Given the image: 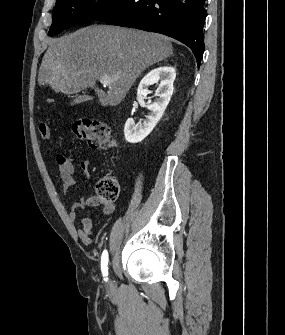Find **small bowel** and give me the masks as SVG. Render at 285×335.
<instances>
[{"label": "small bowel", "instance_id": "1", "mask_svg": "<svg viewBox=\"0 0 285 335\" xmlns=\"http://www.w3.org/2000/svg\"><path fill=\"white\" fill-rule=\"evenodd\" d=\"M56 161L60 173L61 188L65 193H67L75 185V166L73 162L64 155H58ZM80 169L82 173L88 177L90 172V162L88 160L82 161L80 163ZM99 205L103 206V213L106 215H110L115 211V206L113 203L104 202L97 196H90L86 198H80L78 201L72 204L71 210L69 212V218L72 222H75L78 219V209L90 208ZM80 223L81 227L78 230V236L84 244L89 245L92 243L93 235L92 219L89 216H84L81 218Z\"/></svg>", "mask_w": 285, "mask_h": 335}]
</instances>
